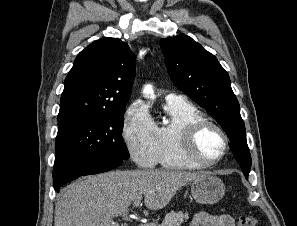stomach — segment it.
Returning <instances> with one entry per match:
<instances>
[{
    "label": "stomach",
    "mask_w": 297,
    "mask_h": 226,
    "mask_svg": "<svg viewBox=\"0 0 297 226\" xmlns=\"http://www.w3.org/2000/svg\"><path fill=\"white\" fill-rule=\"evenodd\" d=\"M190 187L194 200L199 204L208 205L217 203L225 193L223 181L211 175H206L201 179L192 181Z\"/></svg>",
    "instance_id": "obj_1"
}]
</instances>
